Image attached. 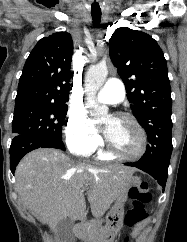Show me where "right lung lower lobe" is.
Listing matches in <instances>:
<instances>
[{
  "label": "right lung lower lobe",
  "instance_id": "right-lung-lower-lobe-1",
  "mask_svg": "<svg viewBox=\"0 0 187 242\" xmlns=\"http://www.w3.org/2000/svg\"><path fill=\"white\" fill-rule=\"evenodd\" d=\"M37 148H57L65 151L62 139L35 135H16L10 146V168L14 174L21 158L28 152Z\"/></svg>",
  "mask_w": 187,
  "mask_h": 242
}]
</instances>
